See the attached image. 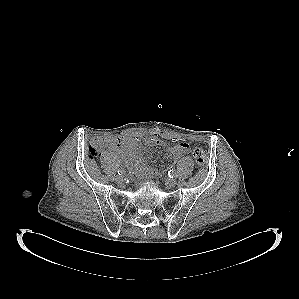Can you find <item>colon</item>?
I'll use <instances>...</instances> for the list:
<instances>
[{"label": "colon", "mask_w": 299, "mask_h": 299, "mask_svg": "<svg viewBox=\"0 0 299 299\" xmlns=\"http://www.w3.org/2000/svg\"><path fill=\"white\" fill-rule=\"evenodd\" d=\"M106 143H107V139H105V138L93 139V141L91 142L90 148H89L90 155L92 157L99 156L101 154V152L103 151L104 147L106 146ZM192 155H193V158H194L196 164L199 167L204 166V164L206 162V154L203 149H201L199 147L194 148Z\"/></svg>", "instance_id": "5ec220e1"}]
</instances>
